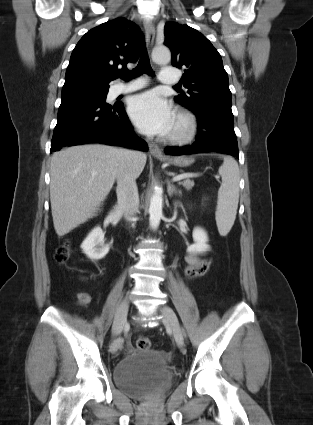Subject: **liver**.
Segmentation results:
<instances>
[{
	"label": "liver",
	"mask_w": 313,
	"mask_h": 425,
	"mask_svg": "<svg viewBox=\"0 0 313 425\" xmlns=\"http://www.w3.org/2000/svg\"><path fill=\"white\" fill-rule=\"evenodd\" d=\"M124 149L100 144L73 146L55 152L50 166V201L55 231L68 234L93 217L109 194ZM147 156L138 152L131 165L135 178L142 173Z\"/></svg>",
	"instance_id": "1"
}]
</instances>
